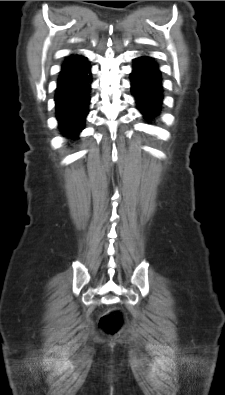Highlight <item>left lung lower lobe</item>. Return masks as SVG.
<instances>
[{"label": "left lung lower lobe", "mask_w": 225, "mask_h": 395, "mask_svg": "<svg viewBox=\"0 0 225 395\" xmlns=\"http://www.w3.org/2000/svg\"><path fill=\"white\" fill-rule=\"evenodd\" d=\"M132 67L131 92L137 109L145 120L151 121L159 116L164 99L159 65L152 57L141 56L134 59Z\"/></svg>", "instance_id": "left-lung-lower-lobe-1"}]
</instances>
